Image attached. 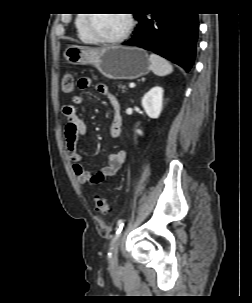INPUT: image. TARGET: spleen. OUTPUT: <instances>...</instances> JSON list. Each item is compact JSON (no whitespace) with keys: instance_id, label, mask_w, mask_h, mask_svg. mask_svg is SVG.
I'll use <instances>...</instances> for the list:
<instances>
[{"instance_id":"3e777b00","label":"spleen","mask_w":252,"mask_h":303,"mask_svg":"<svg viewBox=\"0 0 252 303\" xmlns=\"http://www.w3.org/2000/svg\"><path fill=\"white\" fill-rule=\"evenodd\" d=\"M149 60L152 65V71L155 75L165 76L172 73L173 67L166 59L152 53Z\"/></svg>"}]
</instances>
